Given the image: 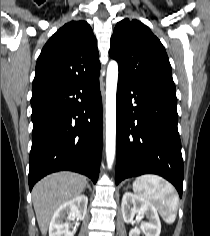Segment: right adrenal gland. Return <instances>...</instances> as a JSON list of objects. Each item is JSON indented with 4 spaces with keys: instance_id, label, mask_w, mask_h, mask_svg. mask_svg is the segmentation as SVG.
<instances>
[{
    "instance_id": "1",
    "label": "right adrenal gland",
    "mask_w": 210,
    "mask_h": 236,
    "mask_svg": "<svg viewBox=\"0 0 210 236\" xmlns=\"http://www.w3.org/2000/svg\"><path fill=\"white\" fill-rule=\"evenodd\" d=\"M86 187L89 189L90 192L92 191L91 186L89 185V183H87Z\"/></svg>"
}]
</instances>
